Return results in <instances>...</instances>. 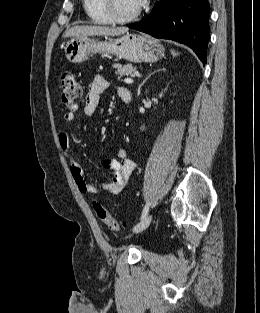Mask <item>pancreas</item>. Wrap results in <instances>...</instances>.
<instances>
[{
  "instance_id": "1",
  "label": "pancreas",
  "mask_w": 260,
  "mask_h": 313,
  "mask_svg": "<svg viewBox=\"0 0 260 313\" xmlns=\"http://www.w3.org/2000/svg\"><path fill=\"white\" fill-rule=\"evenodd\" d=\"M113 67L116 69V75L121 78L123 75L134 76L136 73V67H133L131 64L121 66L119 64H114Z\"/></svg>"
}]
</instances>
